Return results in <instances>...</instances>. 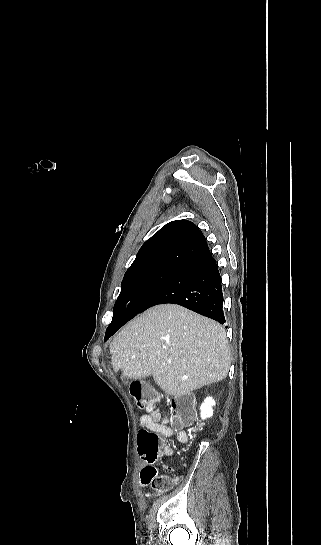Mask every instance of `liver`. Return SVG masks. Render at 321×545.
Instances as JSON below:
<instances>
[{
  "label": "liver",
  "mask_w": 321,
  "mask_h": 545,
  "mask_svg": "<svg viewBox=\"0 0 321 545\" xmlns=\"http://www.w3.org/2000/svg\"><path fill=\"white\" fill-rule=\"evenodd\" d=\"M112 367L129 379H153L174 399L226 379V331L179 305H156L130 321L110 343Z\"/></svg>",
  "instance_id": "6515ba94"
}]
</instances>
